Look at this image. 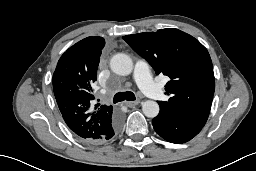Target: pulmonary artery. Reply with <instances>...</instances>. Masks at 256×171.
<instances>
[{"mask_svg":"<svg viewBox=\"0 0 256 171\" xmlns=\"http://www.w3.org/2000/svg\"><path fill=\"white\" fill-rule=\"evenodd\" d=\"M134 79L140 89L150 96L153 100H161L163 97L162 90L154 83L149 65L142 60H139L134 68Z\"/></svg>","mask_w":256,"mask_h":171,"instance_id":"pulmonary-artery-1","label":"pulmonary artery"}]
</instances>
